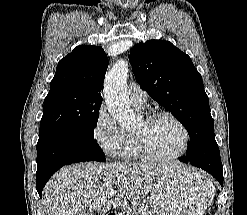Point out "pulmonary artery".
Masks as SVG:
<instances>
[{"label":"pulmonary artery","mask_w":247,"mask_h":215,"mask_svg":"<svg viewBox=\"0 0 247 215\" xmlns=\"http://www.w3.org/2000/svg\"><path fill=\"white\" fill-rule=\"evenodd\" d=\"M128 91L132 104L138 108H143L148 98L147 92L134 82L128 85Z\"/></svg>","instance_id":"pulmonary-artery-1"}]
</instances>
